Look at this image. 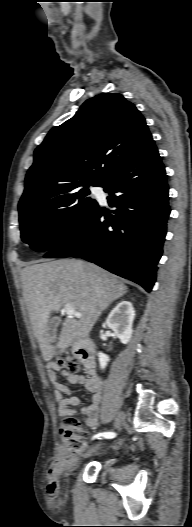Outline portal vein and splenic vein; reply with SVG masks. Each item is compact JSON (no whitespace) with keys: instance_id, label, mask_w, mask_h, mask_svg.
<instances>
[{"instance_id":"obj_1","label":"portal vein and splenic vein","mask_w":192,"mask_h":527,"mask_svg":"<svg viewBox=\"0 0 192 527\" xmlns=\"http://www.w3.org/2000/svg\"><path fill=\"white\" fill-rule=\"evenodd\" d=\"M63 311L67 315L72 316V317H76V318H81L82 317L81 313L77 312L75 310V308L73 306H71L70 304H65L64 308H63Z\"/></svg>"}]
</instances>
